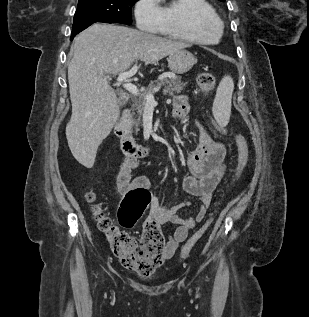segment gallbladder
Segmentation results:
<instances>
[{
    "label": "gallbladder",
    "instance_id": "gallbladder-1",
    "mask_svg": "<svg viewBox=\"0 0 309 317\" xmlns=\"http://www.w3.org/2000/svg\"><path fill=\"white\" fill-rule=\"evenodd\" d=\"M126 101H127L126 97H122V96L119 97V103L121 105L125 104Z\"/></svg>",
    "mask_w": 309,
    "mask_h": 317
}]
</instances>
